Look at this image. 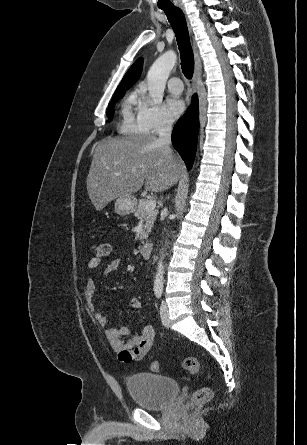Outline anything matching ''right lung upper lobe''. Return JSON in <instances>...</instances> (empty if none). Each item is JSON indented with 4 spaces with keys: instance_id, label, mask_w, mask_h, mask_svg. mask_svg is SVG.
Returning a JSON list of instances; mask_svg holds the SVG:
<instances>
[{
    "instance_id": "1",
    "label": "right lung upper lobe",
    "mask_w": 307,
    "mask_h": 445,
    "mask_svg": "<svg viewBox=\"0 0 307 445\" xmlns=\"http://www.w3.org/2000/svg\"><path fill=\"white\" fill-rule=\"evenodd\" d=\"M142 59L139 58L127 71L125 76L123 77L121 83L117 87L115 94H118L115 96L111 102L118 100L121 98L124 93L123 91L129 89L139 78L141 71H142Z\"/></svg>"
}]
</instances>
